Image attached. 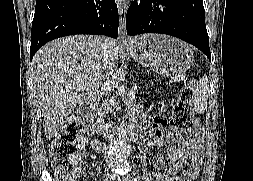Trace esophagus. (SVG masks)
<instances>
[{
	"label": "esophagus",
	"mask_w": 253,
	"mask_h": 181,
	"mask_svg": "<svg viewBox=\"0 0 253 181\" xmlns=\"http://www.w3.org/2000/svg\"><path fill=\"white\" fill-rule=\"evenodd\" d=\"M118 11H119V39L122 41H127L128 40V37L126 35L127 6L123 3H119Z\"/></svg>",
	"instance_id": "esophagus-1"
}]
</instances>
